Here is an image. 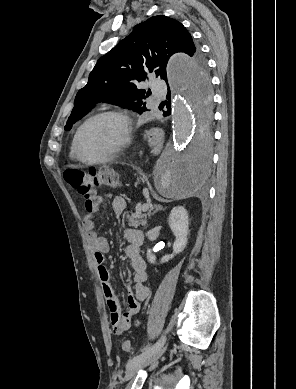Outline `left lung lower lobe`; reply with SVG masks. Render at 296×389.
Returning <instances> with one entry per match:
<instances>
[{"label":"left lung lower lobe","instance_id":"1","mask_svg":"<svg viewBox=\"0 0 296 389\" xmlns=\"http://www.w3.org/2000/svg\"><path fill=\"white\" fill-rule=\"evenodd\" d=\"M192 94L202 97V95H208V90H202L199 85L192 84ZM165 104L168 110L164 111L163 115L169 116L171 114L170 88H168L167 100L165 101ZM205 138H204V142H198L196 144L195 148L193 149L192 153L188 156L186 161L179 166L178 173H177L178 178H183L187 181V176H186L187 172H192L195 175H197L201 171H206L209 162V156L207 152L208 149L207 147H205V140H206Z\"/></svg>","mask_w":296,"mask_h":389}]
</instances>
